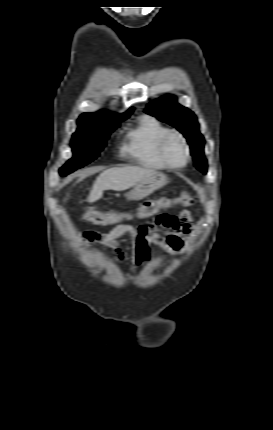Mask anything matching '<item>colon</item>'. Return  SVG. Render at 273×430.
<instances>
[{"label":"colon","mask_w":273,"mask_h":430,"mask_svg":"<svg viewBox=\"0 0 273 430\" xmlns=\"http://www.w3.org/2000/svg\"><path fill=\"white\" fill-rule=\"evenodd\" d=\"M172 204H179L185 207H190L194 204V198L192 194L188 192H182L174 199L163 198L161 200L147 201L140 207L127 212H107L92 209L86 211L83 214V219L101 225H111L134 219H147L156 215V213L161 207L170 206Z\"/></svg>","instance_id":"colon-1"}]
</instances>
